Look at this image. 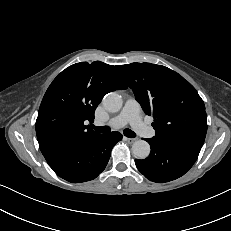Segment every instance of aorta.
Wrapping results in <instances>:
<instances>
[{
  "label": "aorta",
  "mask_w": 231,
  "mask_h": 231,
  "mask_svg": "<svg viewBox=\"0 0 231 231\" xmlns=\"http://www.w3.org/2000/svg\"><path fill=\"white\" fill-rule=\"evenodd\" d=\"M103 106L109 112H118L122 108L121 96L117 93L111 92L104 96ZM150 145L144 140H137L132 145V153L137 159H145L150 154Z\"/></svg>",
  "instance_id": "1"
}]
</instances>
